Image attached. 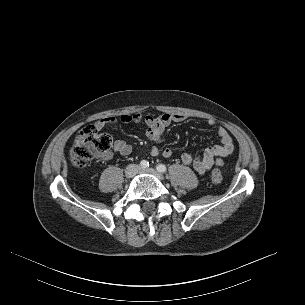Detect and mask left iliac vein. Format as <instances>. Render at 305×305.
<instances>
[{"mask_svg":"<svg viewBox=\"0 0 305 305\" xmlns=\"http://www.w3.org/2000/svg\"><path fill=\"white\" fill-rule=\"evenodd\" d=\"M138 172L152 174L155 177H157L159 180L164 179L163 175L161 173H159L158 171H156L155 169H153V168L139 169Z\"/></svg>","mask_w":305,"mask_h":305,"instance_id":"obj_1","label":"left iliac vein"}]
</instances>
